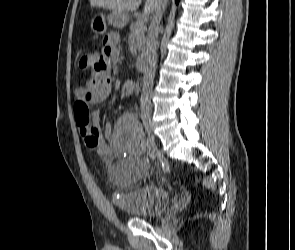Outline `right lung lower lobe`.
Returning <instances> with one entry per match:
<instances>
[{"mask_svg":"<svg viewBox=\"0 0 295 250\" xmlns=\"http://www.w3.org/2000/svg\"><path fill=\"white\" fill-rule=\"evenodd\" d=\"M176 1V3H178L179 2V0H175Z\"/></svg>","mask_w":295,"mask_h":250,"instance_id":"98d812e1","label":"right lung lower lobe"}]
</instances>
